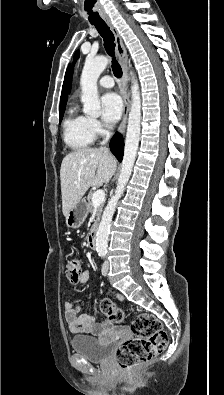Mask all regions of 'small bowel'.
Wrapping results in <instances>:
<instances>
[{
  "instance_id": "c3829d8e",
  "label": "small bowel",
  "mask_w": 224,
  "mask_h": 395,
  "mask_svg": "<svg viewBox=\"0 0 224 395\" xmlns=\"http://www.w3.org/2000/svg\"><path fill=\"white\" fill-rule=\"evenodd\" d=\"M88 272H83L78 282L84 284L88 282ZM118 299L122 300L123 296L120 294L116 295ZM64 317L67 323L68 329L74 334H86V335H101L104 331H111L114 329L111 320H105L103 322H96L95 317L82 314L80 308L75 306L71 302L64 304Z\"/></svg>"
}]
</instances>
